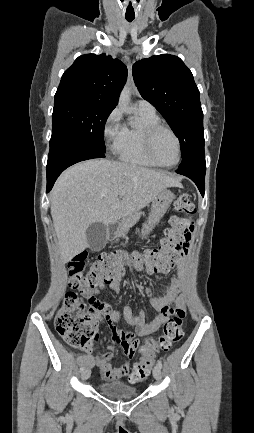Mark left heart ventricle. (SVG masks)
<instances>
[{"instance_id": "1", "label": "left heart ventricle", "mask_w": 254, "mask_h": 433, "mask_svg": "<svg viewBox=\"0 0 254 433\" xmlns=\"http://www.w3.org/2000/svg\"><path fill=\"white\" fill-rule=\"evenodd\" d=\"M156 158L163 164H173L177 159V144L173 136L167 131H159L153 141Z\"/></svg>"}]
</instances>
